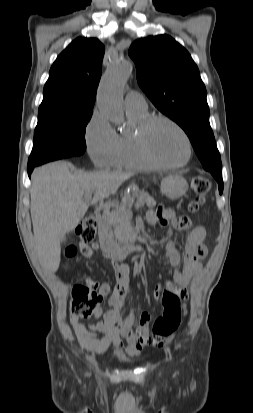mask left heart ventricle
Here are the masks:
<instances>
[{
    "mask_svg": "<svg viewBox=\"0 0 253 413\" xmlns=\"http://www.w3.org/2000/svg\"><path fill=\"white\" fill-rule=\"evenodd\" d=\"M148 145L154 157L164 163L176 164L186 157V144L182 135L165 122L152 127Z\"/></svg>",
    "mask_w": 253,
    "mask_h": 413,
    "instance_id": "1",
    "label": "left heart ventricle"
}]
</instances>
